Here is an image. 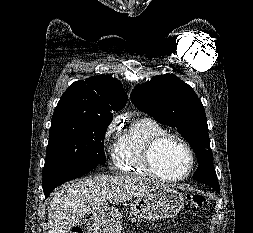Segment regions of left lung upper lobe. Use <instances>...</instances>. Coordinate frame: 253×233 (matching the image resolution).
<instances>
[{"label": "left lung upper lobe", "instance_id": "5c2ea615", "mask_svg": "<svg viewBox=\"0 0 253 233\" xmlns=\"http://www.w3.org/2000/svg\"><path fill=\"white\" fill-rule=\"evenodd\" d=\"M131 100L138 110L161 124L177 128L194 150L199 166L193 179L209 186H219L213 166L208 125L201 100L194 90L172 74L157 75L137 85Z\"/></svg>", "mask_w": 253, "mask_h": 233}]
</instances>
